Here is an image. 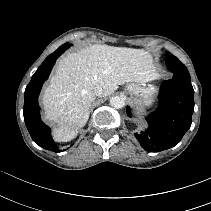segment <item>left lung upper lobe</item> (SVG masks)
<instances>
[{"instance_id": "left-lung-upper-lobe-1", "label": "left lung upper lobe", "mask_w": 211, "mask_h": 211, "mask_svg": "<svg viewBox=\"0 0 211 211\" xmlns=\"http://www.w3.org/2000/svg\"><path fill=\"white\" fill-rule=\"evenodd\" d=\"M165 62L169 70L174 74L180 73L189 75V72L187 68L184 66V64L181 63L177 57H175L168 51H166L165 53Z\"/></svg>"}]
</instances>
